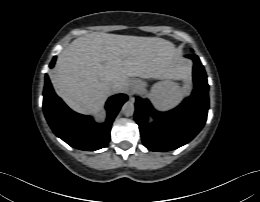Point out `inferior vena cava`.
<instances>
[{"instance_id": "inferior-vena-cava-1", "label": "inferior vena cava", "mask_w": 260, "mask_h": 202, "mask_svg": "<svg viewBox=\"0 0 260 202\" xmlns=\"http://www.w3.org/2000/svg\"><path fill=\"white\" fill-rule=\"evenodd\" d=\"M111 88H112L113 90H116V89L118 88V84H117V83H112V84H111Z\"/></svg>"}]
</instances>
